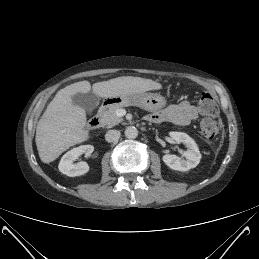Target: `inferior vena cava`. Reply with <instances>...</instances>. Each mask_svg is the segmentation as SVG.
Listing matches in <instances>:
<instances>
[{"label":"inferior vena cava","mask_w":259,"mask_h":259,"mask_svg":"<svg viewBox=\"0 0 259 259\" xmlns=\"http://www.w3.org/2000/svg\"><path fill=\"white\" fill-rule=\"evenodd\" d=\"M119 137H120V131H118V130H109L105 134V140L107 142H114V141L118 140Z\"/></svg>","instance_id":"602c4592"}]
</instances>
